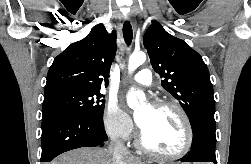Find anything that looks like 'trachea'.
Returning a JSON list of instances; mask_svg holds the SVG:
<instances>
[{"mask_svg":"<svg viewBox=\"0 0 251 164\" xmlns=\"http://www.w3.org/2000/svg\"><path fill=\"white\" fill-rule=\"evenodd\" d=\"M123 36L126 44L130 45L133 39V31L129 21H126L123 24Z\"/></svg>","mask_w":251,"mask_h":164,"instance_id":"1","label":"trachea"}]
</instances>
